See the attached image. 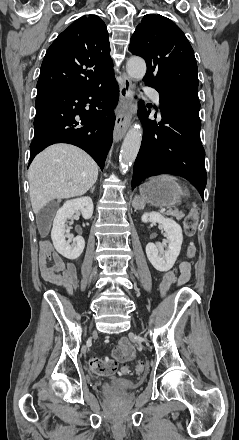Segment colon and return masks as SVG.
I'll return each instance as SVG.
<instances>
[{
  "mask_svg": "<svg viewBox=\"0 0 239 440\" xmlns=\"http://www.w3.org/2000/svg\"><path fill=\"white\" fill-rule=\"evenodd\" d=\"M198 217L196 212H190L184 221L185 234L189 237L193 236L196 232ZM196 254V247L194 244H190L187 249L188 258L192 259ZM175 280V274L173 272L167 273L160 284V292L165 296L171 284ZM135 354L134 348L131 343L126 339H121L118 343L116 359L115 360H103L93 358L89 362L90 369L99 375H112L115 373L127 374L129 373L128 367L122 365L123 362L131 359ZM144 370V363L142 360H138L135 363L136 373H142Z\"/></svg>",
  "mask_w": 239,
  "mask_h": 440,
  "instance_id": "1",
  "label": "colon"
}]
</instances>
